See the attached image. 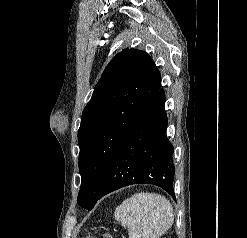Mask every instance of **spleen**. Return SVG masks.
<instances>
[{
	"label": "spleen",
	"mask_w": 247,
	"mask_h": 238,
	"mask_svg": "<svg viewBox=\"0 0 247 238\" xmlns=\"http://www.w3.org/2000/svg\"><path fill=\"white\" fill-rule=\"evenodd\" d=\"M115 220L128 228L129 238H159L173 224V208L157 193H136L116 207Z\"/></svg>",
	"instance_id": "spleen-1"
}]
</instances>
